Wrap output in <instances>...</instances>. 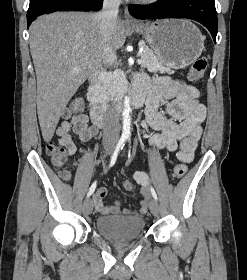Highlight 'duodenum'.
<instances>
[{
  "label": "duodenum",
  "instance_id": "410a0bca",
  "mask_svg": "<svg viewBox=\"0 0 247 280\" xmlns=\"http://www.w3.org/2000/svg\"><path fill=\"white\" fill-rule=\"evenodd\" d=\"M100 73L93 74L86 86V98L90 105V116L93 123L96 126H103L107 120L108 112L106 108H104L97 98V84L100 79ZM146 92L144 89L135 87L133 96H132V105L139 109L142 107L145 101Z\"/></svg>",
  "mask_w": 247,
  "mask_h": 280
}]
</instances>
